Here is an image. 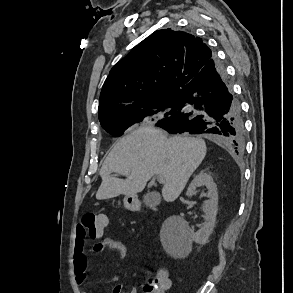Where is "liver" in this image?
I'll use <instances>...</instances> for the list:
<instances>
[{"label": "liver", "mask_w": 293, "mask_h": 293, "mask_svg": "<svg viewBox=\"0 0 293 293\" xmlns=\"http://www.w3.org/2000/svg\"><path fill=\"white\" fill-rule=\"evenodd\" d=\"M206 155L205 141L194 137L168 138L162 130L142 126L120 139L106 157L96 193L98 200L142 192L154 175L164 178L162 196L175 201ZM113 173L125 176L119 179Z\"/></svg>", "instance_id": "liver-1"}]
</instances>
